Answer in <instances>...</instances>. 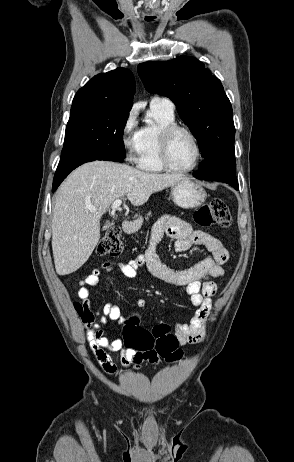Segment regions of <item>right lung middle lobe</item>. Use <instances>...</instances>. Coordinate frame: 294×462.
Wrapping results in <instances>:
<instances>
[{
  "label": "right lung middle lobe",
  "mask_w": 294,
  "mask_h": 462,
  "mask_svg": "<svg viewBox=\"0 0 294 462\" xmlns=\"http://www.w3.org/2000/svg\"><path fill=\"white\" fill-rule=\"evenodd\" d=\"M129 111L74 108L65 131L58 166L111 156L125 158L123 132Z\"/></svg>",
  "instance_id": "1"
}]
</instances>
